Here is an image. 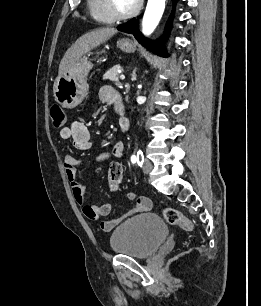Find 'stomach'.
I'll use <instances>...</instances> for the list:
<instances>
[{
    "label": "stomach",
    "mask_w": 261,
    "mask_h": 306,
    "mask_svg": "<svg viewBox=\"0 0 261 306\" xmlns=\"http://www.w3.org/2000/svg\"><path fill=\"white\" fill-rule=\"evenodd\" d=\"M117 46L124 52H134L135 45L129 39H121ZM93 65L86 56L81 57L63 75L55 79L53 92L55 100L64 108H75L87 96V76Z\"/></svg>",
    "instance_id": "obj_1"
}]
</instances>
